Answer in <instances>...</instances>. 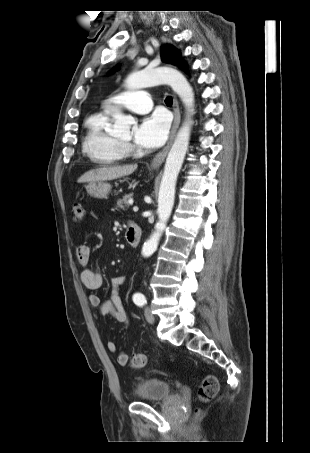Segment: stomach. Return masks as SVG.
I'll use <instances>...</instances> for the list:
<instances>
[{
  "instance_id": "obj_1",
  "label": "stomach",
  "mask_w": 310,
  "mask_h": 453,
  "mask_svg": "<svg viewBox=\"0 0 310 453\" xmlns=\"http://www.w3.org/2000/svg\"><path fill=\"white\" fill-rule=\"evenodd\" d=\"M86 190L87 193L92 197L104 198L109 194L111 190V185L104 181L91 182L86 187Z\"/></svg>"
}]
</instances>
